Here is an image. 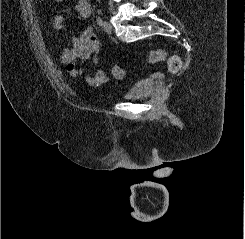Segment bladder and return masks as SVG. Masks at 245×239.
Listing matches in <instances>:
<instances>
[{
    "mask_svg": "<svg viewBox=\"0 0 245 239\" xmlns=\"http://www.w3.org/2000/svg\"><path fill=\"white\" fill-rule=\"evenodd\" d=\"M154 87L155 82L153 79L139 80L128 86L127 89L122 93L121 98L123 100L141 98L144 95L151 93Z\"/></svg>",
    "mask_w": 245,
    "mask_h": 239,
    "instance_id": "obj_1",
    "label": "bladder"
}]
</instances>
